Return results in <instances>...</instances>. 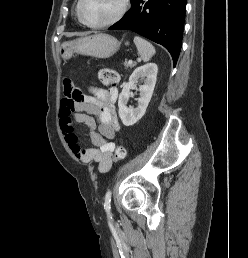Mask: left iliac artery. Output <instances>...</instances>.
Instances as JSON below:
<instances>
[{
	"label": "left iliac artery",
	"instance_id": "obj_1",
	"mask_svg": "<svg viewBox=\"0 0 248 258\" xmlns=\"http://www.w3.org/2000/svg\"><path fill=\"white\" fill-rule=\"evenodd\" d=\"M111 191L108 190L106 195H105V202H104V209L106 210V212H110L111 209Z\"/></svg>",
	"mask_w": 248,
	"mask_h": 258
}]
</instances>
